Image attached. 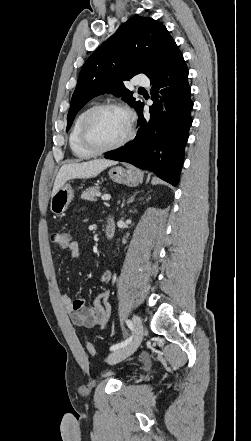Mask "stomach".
Listing matches in <instances>:
<instances>
[{"label": "stomach", "mask_w": 251, "mask_h": 441, "mask_svg": "<svg viewBox=\"0 0 251 441\" xmlns=\"http://www.w3.org/2000/svg\"><path fill=\"white\" fill-rule=\"evenodd\" d=\"M109 177L116 183L134 187L140 181L139 174L133 169L113 167L108 172ZM74 198V191L70 184H64L51 197L50 209L52 213L60 215L64 213Z\"/></svg>", "instance_id": "1"}]
</instances>
